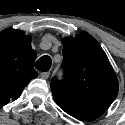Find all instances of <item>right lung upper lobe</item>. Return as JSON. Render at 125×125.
I'll return each instance as SVG.
<instances>
[{
  "label": "right lung upper lobe",
  "mask_w": 125,
  "mask_h": 125,
  "mask_svg": "<svg viewBox=\"0 0 125 125\" xmlns=\"http://www.w3.org/2000/svg\"><path fill=\"white\" fill-rule=\"evenodd\" d=\"M35 59L29 35L12 28L0 32V107L16 100L37 77Z\"/></svg>",
  "instance_id": "right-lung-upper-lobe-1"
}]
</instances>
